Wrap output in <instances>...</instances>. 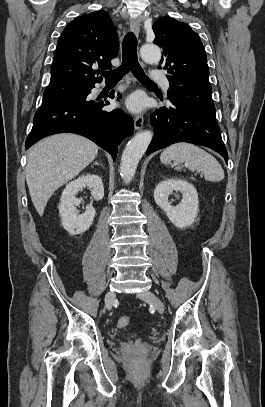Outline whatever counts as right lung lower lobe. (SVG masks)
<instances>
[{
  "instance_id": "obj_1",
  "label": "right lung lower lobe",
  "mask_w": 265,
  "mask_h": 407,
  "mask_svg": "<svg viewBox=\"0 0 265 407\" xmlns=\"http://www.w3.org/2000/svg\"><path fill=\"white\" fill-rule=\"evenodd\" d=\"M101 82V81H97ZM92 82L71 100L42 106L35 114L32 130L26 140L28 149L40 139L63 132L83 135L108 151L116 159L121 141L133 134L132 118L121 109L102 111L109 102L90 100ZM114 97V93L109 95Z\"/></svg>"
}]
</instances>
